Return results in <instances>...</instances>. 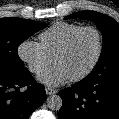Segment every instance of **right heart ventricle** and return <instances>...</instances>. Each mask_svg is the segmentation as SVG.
<instances>
[{
    "label": "right heart ventricle",
    "instance_id": "e07e8e85",
    "mask_svg": "<svg viewBox=\"0 0 119 119\" xmlns=\"http://www.w3.org/2000/svg\"><path fill=\"white\" fill-rule=\"evenodd\" d=\"M83 26L69 22H56L39 36L40 44L53 59L69 37Z\"/></svg>",
    "mask_w": 119,
    "mask_h": 119
}]
</instances>
